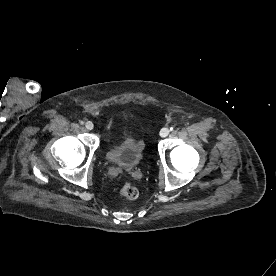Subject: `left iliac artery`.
I'll return each mask as SVG.
<instances>
[{
  "label": "left iliac artery",
  "instance_id": "left-iliac-artery-1",
  "mask_svg": "<svg viewBox=\"0 0 276 276\" xmlns=\"http://www.w3.org/2000/svg\"><path fill=\"white\" fill-rule=\"evenodd\" d=\"M170 130L172 131V130H174V128H173V127H171V128H170Z\"/></svg>",
  "mask_w": 276,
  "mask_h": 276
}]
</instances>
